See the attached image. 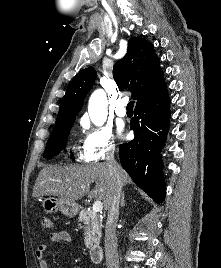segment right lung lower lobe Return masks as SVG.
I'll list each match as a JSON object with an SVG mask.
<instances>
[{"label": "right lung lower lobe", "mask_w": 221, "mask_h": 268, "mask_svg": "<svg viewBox=\"0 0 221 268\" xmlns=\"http://www.w3.org/2000/svg\"><path fill=\"white\" fill-rule=\"evenodd\" d=\"M169 97L167 90L135 107L130 122L135 138L119 147L120 161L133 181L153 200L165 199L160 152L169 131Z\"/></svg>", "instance_id": "1"}]
</instances>
